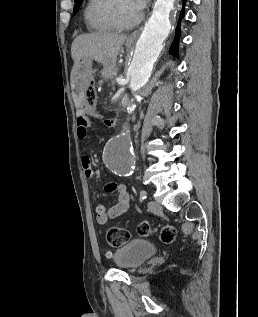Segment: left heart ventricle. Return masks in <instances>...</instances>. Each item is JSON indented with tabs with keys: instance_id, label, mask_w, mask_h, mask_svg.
Returning a JSON list of instances; mask_svg holds the SVG:
<instances>
[{
	"instance_id": "left-heart-ventricle-1",
	"label": "left heart ventricle",
	"mask_w": 258,
	"mask_h": 317,
	"mask_svg": "<svg viewBox=\"0 0 258 317\" xmlns=\"http://www.w3.org/2000/svg\"><path fill=\"white\" fill-rule=\"evenodd\" d=\"M136 15V9L127 3H124L118 11V19L121 25L129 26L133 23Z\"/></svg>"
}]
</instances>
